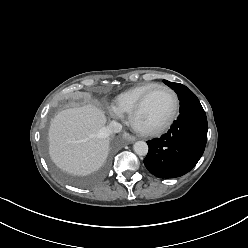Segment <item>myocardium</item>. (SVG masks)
<instances>
[{"label": "myocardium", "mask_w": 248, "mask_h": 248, "mask_svg": "<svg viewBox=\"0 0 248 248\" xmlns=\"http://www.w3.org/2000/svg\"><path fill=\"white\" fill-rule=\"evenodd\" d=\"M155 89H164V90L169 92V94L171 95V97L173 99L172 112H171L170 116L168 117V119L160 126L153 128V129H144V128H141L137 125L136 120H137V117H138L139 113L141 112L148 96ZM178 110H179V100H178L176 93L170 87H168L164 84H156L153 87H151L150 89H148L140 97L137 104L135 105V107L133 108V110L131 111V113L129 115V124L135 132H137L138 134H140L142 136H148V137L159 136V135L165 133L167 130H169L170 127L173 125L174 121L177 118Z\"/></svg>", "instance_id": "f54148a6"}]
</instances>
